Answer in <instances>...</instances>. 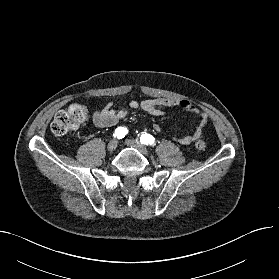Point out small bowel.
Listing matches in <instances>:
<instances>
[{
    "mask_svg": "<svg viewBox=\"0 0 279 279\" xmlns=\"http://www.w3.org/2000/svg\"><path fill=\"white\" fill-rule=\"evenodd\" d=\"M178 107L186 110L190 114L198 117V122L194 129L183 137L173 136L172 140L180 145L187 146L197 140L204 131L208 122V115L192 102L185 99L153 98L141 102L131 101L127 105L116 108L113 102L107 103L101 110L95 111L92 121L95 126L100 128L112 127L120 120L124 119L131 110H142L153 116L163 115L167 108ZM157 132L161 131V126L153 125Z\"/></svg>",
    "mask_w": 279,
    "mask_h": 279,
    "instance_id": "small-bowel-1",
    "label": "small bowel"
}]
</instances>
